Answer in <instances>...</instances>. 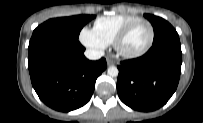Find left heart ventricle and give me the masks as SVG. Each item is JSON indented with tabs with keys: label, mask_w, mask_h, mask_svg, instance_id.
<instances>
[{
	"label": "left heart ventricle",
	"mask_w": 203,
	"mask_h": 123,
	"mask_svg": "<svg viewBox=\"0 0 203 123\" xmlns=\"http://www.w3.org/2000/svg\"><path fill=\"white\" fill-rule=\"evenodd\" d=\"M150 38V29L147 24H137L123 41L121 47L126 52H136L145 47Z\"/></svg>",
	"instance_id": "1"
}]
</instances>
